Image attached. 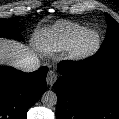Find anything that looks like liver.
Here are the masks:
<instances>
[{
	"instance_id": "obj_1",
	"label": "liver",
	"mask_w": 119,
	"mask_h": 119,
	"mask_svg": "<svg viewBox=\"0 0 119 119\" xmlns=\"http://www.w3.org/2000/svg\"><path fill=\"white\" fill-rule=\"evenodd\" d=\"M47 44L48 41L41 34L35 35L31 39L29 46L14 40L0 38V64L18 68L19 64L28 58L41 55L45 51Z\"/></svg>"
}]
</instances>
